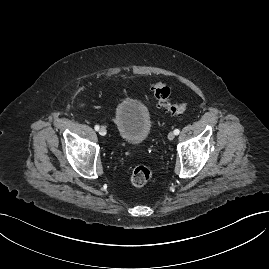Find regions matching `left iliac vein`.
<instances>
[{
	"label": "left iliac vein",
	"mask_w": 269,
	"mask_h": 269,
	"mask_svg": "<svg viewBox=\"0 0 269 269\" xmlns=\"http://www.w3.org/2000/svg\"><path fill=\"white\" fill-rule=\"evenodd\" d=\"M175 138V134H174V132H169V134H168V139L169 140H173Z\"/></svg>",
	"instance_id": "obj_1"
}]
</instances>
